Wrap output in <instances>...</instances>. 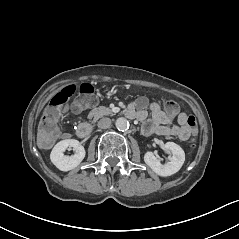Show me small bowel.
Instances as JSON below:
<instances>
[{"mask_svg":"<svg viewBox=\"0 0 239 239\" xmlns=\"http://www.w3.org/2000/svg\"><path fill=\"white\" fill-rule=\"evenodd\" d=\"M150 114V117H149ZM127 115L137 118L142 122V132L145 135H161L177 137L187 140L191 136V130L187 125L188 116L181 112L177 115V124L172 125L175 116L165 113L159 104L150 103L146 97L135 100L128 108Z\"/></svg>","mask_w":239,"mask_h":239,"instance_id":"1","label":"small bowel"}]
</instances>
